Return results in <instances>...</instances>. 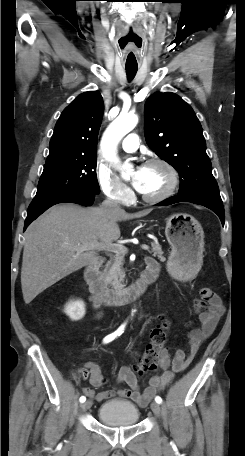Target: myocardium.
Masks as SVG:
<instances>
[{"instance_id": "1", "label": "myocardium", "mask_w": 245, "mask_h": 456, "mask_svg": "<svg viewBox=\"0 0 245 456\" xmlns=\"http://www.w3.org/2000/svg\"><path fill=\"white\" fill-rule=\"evenodd\" d=\"M152 165L163 166L170 175V183L163 192H161L157 195H153V196L145 195V194L141 193L139 190H138V193H139L140 198L143 201L148 202V203H158V202L166 200L167 198L171 197L175 193V191L177 190V188L179 186L180 175H179L178 170L175 168V166L163 158H159V157L151 158V159H148L147 161H145L143 164L144 167L152 166Z\"/></svg>"}]
</instances>
